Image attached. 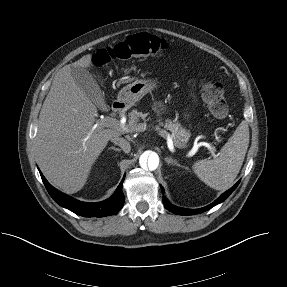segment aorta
Returning <instances> with one entry per match:
<instances>
[{"label":"aorta","mask_w":287,"mask_h":287,"mask_svg":"<svg viewBox=\"0 0 287 287\" xmlns=\"http://www.w3.org/2000/svg\"><path fill=\"white\" fill-rule=\"evenodd\" d=\"M139 163L144 169L156 170L159 165V156L155 152H144L139 158Z\"/></svg>","instance_id":"aorta-1"}]
</instances>
